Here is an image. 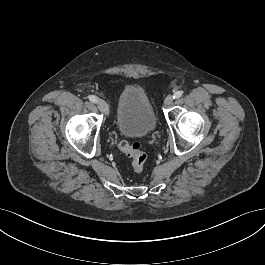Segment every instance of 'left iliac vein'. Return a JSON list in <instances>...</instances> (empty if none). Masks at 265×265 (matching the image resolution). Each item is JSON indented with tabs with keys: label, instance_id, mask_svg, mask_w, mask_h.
<instances>
[{
	"label": "left iliac vein",
	"instance_id": "left-iliac-vein-1",
	"mask_svg": "<svg viewBox=\"0 0 265 265\" xmlns=\"http://www.w3.org/2000/svg\"><path fill=\"white\" fill-rule=\"evenodd\" d=\"M174 98L172 95H168L164 101V106H169L172 104Z\"/></svg>",
	"mask_w": 265,
	"mask_h": 265
}]
</instances>
